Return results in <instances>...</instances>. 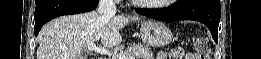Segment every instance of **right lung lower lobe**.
<instances>
[{
    "mask_svg": "<svg viewBox=\"0 0 261 59\" xmlns=\"http://www.w3.org/2000/svg\"><path fill=\"white\" fill-rule=\"evenodd\" d=\"M98 2L99 0H36L35 36L38 35L41 27L51 19L91 11Z\"/></svg>",
    "mask_w": 261,
    "mask_h": 59,
    "instance_id": "right-lung-lower-lobe-1",
    "label": "right lung lower lobe"
}]
</instances>
